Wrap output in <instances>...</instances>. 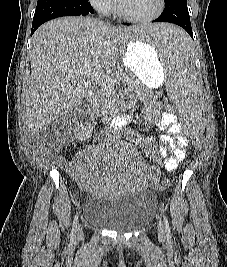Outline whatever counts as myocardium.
I'll return each mask as SVG.
<instances>
[{"label": "myocardium", "instance_id": "1", "mask_svg": "<svg viewBox=\"0 0 227 267\" xmlns=\"http://www.w3.org/2000/svg\"><path fill=\"white\" fill-rule=\"evenodd\" d=\"M164 7H165V0H157V8L152 14L146 17H137V16H132L126 13L124 9L122 8L121 3L119 2L117 5V13L121 18L129 22L148 23L158 18L162 14Z\"/></svg>", "mask_w": 227, "mask_h": 267}]
</instances>
